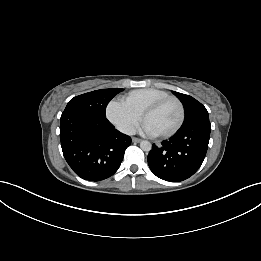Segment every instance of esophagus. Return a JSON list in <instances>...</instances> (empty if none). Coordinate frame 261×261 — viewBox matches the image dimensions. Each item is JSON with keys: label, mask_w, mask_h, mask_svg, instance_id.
Instances as JSON below:
<instances>
[{"label": "esophagus", "mask_w": 261, "mask_h": 261, "mask_svg": "<svg viewBox=\"0 0 261 261\" xmlns=\"http://www.w3.org/2000/svg\"><path fill=\"white\" fill-rule=\"evenodd\" d=\"M132 142L139 143V142H141V139L140 138H136V137H132Z\"/></svg>", "instance_id": "obj_1"}]
</instances>
